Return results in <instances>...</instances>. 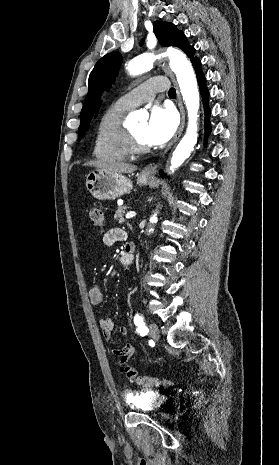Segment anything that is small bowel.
I'll use <instances>...</instances> for the list:
<instances>
[{
	"label": "small bowel",
	"instance_id": "obj_1",
	"mask_svg": "<svg viewBox=\"0 0 279 465\" xmlns=\"http://www.w3.org/2000/svg\"><path fill=\"white\" fill-rule=\"evenodd\" d=\"M125 233L121 229H110L104 236L103 241L107 246H112L118 241L125 239ZM89 300L92 304L98 305L103 300V292L98 285H93L88 291ZM100 328L102 329L103 336L106 340H110L115 324L112 318L103 317L99 320ZM119 333L123 336L128 334V329L125 326L120 327ZM136 348L132 343H127L122 348L114 349L113 354L119 358L118 364L120 367L124 366L135 354Z\"/></svg>",
	"mask_w": 279,
	"mask_h": 465
}]
</instances>
